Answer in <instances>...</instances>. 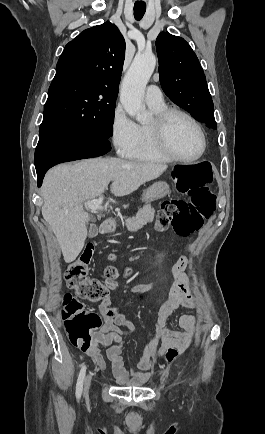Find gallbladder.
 <instances>
[{
    "mask_svg": "<svg viewBox=\"0 0 265 434\" xmlns=\"http://www.w3.org/2000/svg\"><path fill=\"white\" fill-rule=\"evenodd\" d=\"M91 218H94V216H91ZM90 230H91V232H90V237L91 238H96L97 237V234H98V228H97V225L96 224H91L90 225Z\"/></svg>",
    "mask_w": 265,
    "mask_h": 434,
    "instance_id": "bac80fb5",
    "label": "gallbladder"
}]
</instances>
